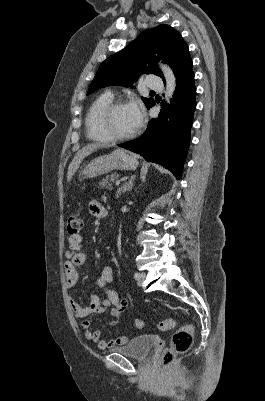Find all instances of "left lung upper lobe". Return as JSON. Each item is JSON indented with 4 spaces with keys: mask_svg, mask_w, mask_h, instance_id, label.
<instances>
[{
    "mask_svg": "<svg viewBox=\"0 0 265 401\" xmlns=\"http://www.w3.org/2000/svg\"><path fill=\"white\" fill-rule=\"evenodd\" d=\"M188 57V46L171 26L159 25L145 30L125 49L102 62L87 95L110 85L130 87L144 73L164 80L157 62L162 60L169 64L175 73ZM142 100L147 108L154 103L152 98L142 97Z\"/></svg>",
    "mask_w": 265,
    "mask_h": 401,
    "instance_id": "obj_1",
    "label": "left lung upper lobe"
}]
</instances>
